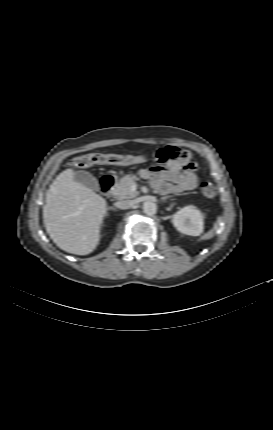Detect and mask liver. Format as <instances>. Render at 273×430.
I'll return each instance as SVG.
<instances>
[{
    "label": "liver",
    "mask_w": 273,
    "mask_h": 430,
    "mask_svg": "<svg viewBox=\"0 0 273 430\" xmlns=\"http://www.w3.org/2000/svg\"><path fill=\"white\" fill-rule=\"evenodd\" d=\"M74 175L73 169H66L50 185L43 207V222L60 249L87 255L99 243L101 224L108 208L104 198L75 181Z\"/></svg>",
    "instance_id": "6515ba94"
}]
</instances>
